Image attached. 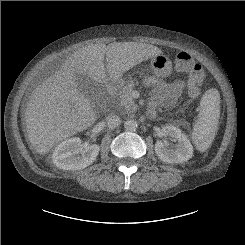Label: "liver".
I'll use <instances>...</instances> for the list:
<instances>
[{
  "mask_svg": "<svg viewBox=\"0 0 245 245\" xmlns=\"http://www.w3.org/2000/svg\"><path fill=\"white\" fill-rule=\"evenodd\" d=\"M160 54L158 47L138 42L91 44L75 51L61 70L34 90L25 109L27 137L36 152L48 153L96 121L89 99L78 88L77 75H86L100 85L106 82L107 75L116 80Z\"/></svg>",
  "mask_w": 245,
  "mask_h": 245,
  "instance_id": "6515ba94",
  "label": "liver"
}]
</instances>
